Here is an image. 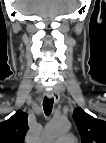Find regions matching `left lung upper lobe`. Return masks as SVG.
Here are the masks:
<instances>
[{
  "label": "left lung upper lobe",
  "mask_w": 106,
  "mask_h": 143,
  "mask_svg": "<svg viewBox=\"0 0 106 143\" xmlns=\"http://www.w3.org/2000/svg\"><path fill=\"white\" fill-rule=\"evenodd\" d=\"M73 118L81 135L82 143H106V122L75 109Z\"/></svg>",
  "instance_id": "1"
}]
</instances>
